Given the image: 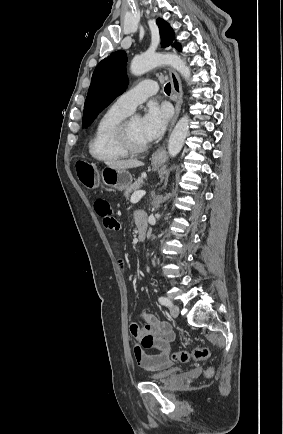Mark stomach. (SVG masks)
<instances>
[{"label": "stomach", "mask_w": 283, "mask_h": 434, "mask_svg": "<svg viewBox=\"0 0 283 434\" xmlns=\"http://www.w3.org/2000/svg\"><path fill=\"white\" fill-rule=\"evenodd\" d=\"M161 160L152 159L153 167L157 168L161 165ZM104 178L103 183L109 187L115 188L118 191L126 190L132 183V175L124 169H114L111 167L104 168L102 173Z\"/></svg>", "instance_id": "0dacf381"}]
</instances>
